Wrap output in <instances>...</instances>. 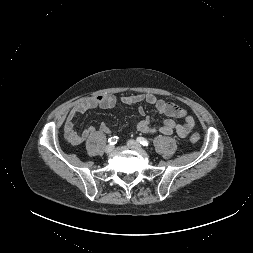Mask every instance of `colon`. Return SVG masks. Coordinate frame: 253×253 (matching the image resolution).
Wrapping results in <instances>:
<instances>
[{
	"label": "colon",
	"mask_w": 253,
	"mask_h": 253,
	"mask_svg": "<svg viewBox=\"0 0 253 253\" xmlns=\"http://www.w3.org/2000/svg\"><path fill=\"white\" fill-rule=\"evenodd\" d=\"M200 140V135L198 133H193L191 136H190V141L193 142V143H196Z\"/></svg>",
	"instance_id": "1"
}]
</instances>
